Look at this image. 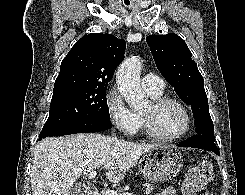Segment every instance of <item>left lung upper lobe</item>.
I'll return each instance as SVG.
<instances>
[{
    "mask_svg": "<svg viewBox=\"0 0 245 195\" xmlns=\"http://www.w3.org/2000/svg\"><path fill=\"white\" fill-rule=\"evenodd\" d=\"M156 66L177 95L191 105L195 131L215 141L204 80L185 41L175 33L146 38Z\"/></svg>",
    "mask_w": 245,
    "mask_h": 195,
    "instance_id": "1",
    "label": "left lung upper lobe"
}]
</instances>
